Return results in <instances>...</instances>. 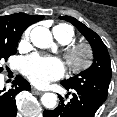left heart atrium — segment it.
Masks as SVG:
<instances>
[{
	"instance_id": "left-heart-atrium-1",
	"label": "left heart atrium",
	"mask_w": 117,
	"mask_h": 117,
	"mask_svg": "<svg viewBox=\"0 0 117 117\" xmlns=\"http://www.w3.org/2000/svg\"><path fill=\"white\" fill-rule=\"evenodd\" d=\"M22 71L33 84L43 87L61 78L65 69L57 58L32 55L23 59Z\"/></svg>"
}]
</instances>
